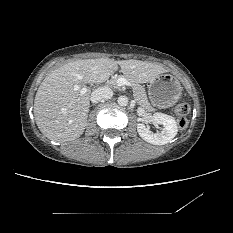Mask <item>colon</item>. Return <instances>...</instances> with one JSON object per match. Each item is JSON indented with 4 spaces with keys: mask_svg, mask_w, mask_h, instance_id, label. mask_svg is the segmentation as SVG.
I'll return each instance as SVG.
<instances>
[{
    "mask_svg": "<svg viewBox=\"0 0 233 233\" xmlns=\"http://www.w3.org/2000/svg\"><path fill=\"white\" fill-rule=\"evenodd\" d=\"M174 111H175L177 126L180 129H185L188 125L187 116L190 112V106L186 103H178Z\"/></svg>",
    "mask_w": 233,
    "mask_h": 233,
    "instance_id": "obj_1",
    "label": "colon"
}]
</instances>
